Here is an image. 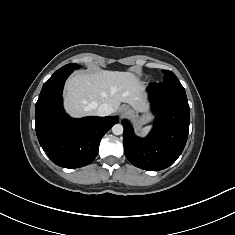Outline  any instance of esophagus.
I'll use <instances>...</instances> for the list:
<instances>
[{
  "mask_svg": "<svg viewBox=\"0 0 235 235\" xmlns=\"http://www.w3.org/2000/svg\"><path fill=\"white\" fill-rule=\"evenodd\" d=\"M129 111V107L126 105H123L120 107V113L121 114H126Z\"/></svg>",
  "mask_w": 235,
  "mask_h": 235,
  "instance_id": "esophagus-1",
  "label": "esophagus"
}]
</instances>
